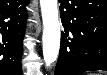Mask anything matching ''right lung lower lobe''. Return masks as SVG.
<instances>
[{
    "label": "right lung lower lobe",
    "mask_w": 107,
    "mask_h": 75,
    "mask_svg": "<svg viewBox=\"0 0 107 75\" xmlns=\"http://www.w3.org/2000/svg\"><path fill=\"white\" fill-rule=\"evenodd\" d=\"M28 0H0V75H22V40Z\"/></svg>",
    "instance_id": "obj_1"
}]
</instances>
